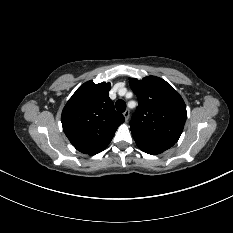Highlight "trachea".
I'll use <instances>...</instances> for the list:
<instances>
[{
    "instance_id": "trachea-1",
    "label": "trachea",
    "mask_w": 233,
    "mask_h": 233,
    "mask_svg": "<svg viewBox=\"0 0 233 233\" xmlns=\"http://www.w3.org/2000/svg\"><path fill=\"white\" fill-rule=\"evenodd\" d=\"M117 111L124 112L126 110V103L123 100H117L115 103Z\"/></svg>"
}]
</instances>
